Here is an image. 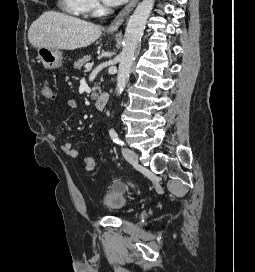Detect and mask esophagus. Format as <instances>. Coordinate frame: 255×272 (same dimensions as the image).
Here are the masks:
<instances>
[{"label":"esophagus","mask_w":255,"mask_h":272,"mask_svg":"<svg viewBox=\"0 0 255 272\" xmlns=\"http://www.w3.org/2000/svg\"><path fill=\"white\" fill-rule=\"evenodd\" d=\"M139 0H130L129 3L118 13L115 19L111 22V24L107 28V32H115L119 29V27L123 24L125 19L131 13L133 8L136 6Z\"/></svg>","instance_id":"1"}]
</instances>
